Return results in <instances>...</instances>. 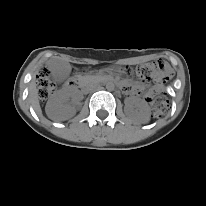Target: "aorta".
<instances>
[{
    "mask_svg": "<svg viewBox=\"0 0 206 206\" xmlns=\"http://www.w3.org/2000/svg\"><path fill=\"white\" fill-rule=\"evenodd\" d=\"M114 88H115V85H114V83H113L112 81L107 82V84H106V89H107L108 91H113Z\"/></svg>",
    "mask_w": 206,
    "mask_h": 206,
    "instance_id": "obj_1",
    "label": "aorta"
}]
</instances>
